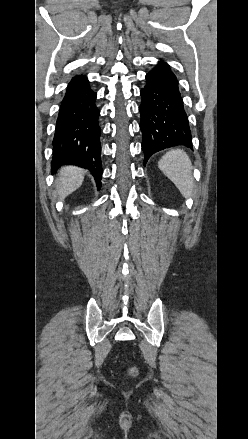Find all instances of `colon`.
Segmentation results:
<instances>
[{"label":"colon","mask_w":248,"mask_h":439,"mask_svg":"<svg viewBox=\"0 0 248 439\" xmlns=\"http://www.w3.org/2000/svg\"><path fill=\"white\" fill-rule=\"evenodd\" d=\"M136 373H137V370H136L135 368H132V369L130 370V374H131V375H136Z\"/></svg>","instance_id":"colon-1"}]
</instances>
